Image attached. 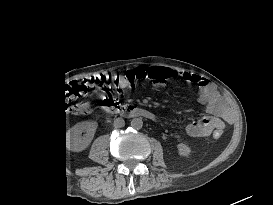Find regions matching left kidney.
I'll list each match as a JSON object with an SVG mask.
<instances>
[{
    "mask_svg": "<svg viewBox=\"0 0 273 205\" xmlns=\"http://www.w3.org/2000/svg\"><path fill=\"white\" fill-rule=\"evenodd\" d=\"M177 148L181 156H188L191 153V148L184 143H179Z\"/></svg>",
    "mask_w": 273,
    "mask_h": 205,
    "instance_id": "5707ae66",
    "label": "left kidney"
}]
</instances>
